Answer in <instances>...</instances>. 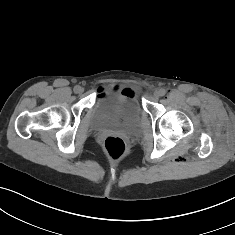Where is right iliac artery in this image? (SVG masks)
Returning <instances> with one entry per match:
<instances>
[{
  "instance_id": "82829eb1",
  "label": "right iliac artery",
  "mask_w": 235,
  "mask_h": 235,
  "mask_svg": "<svg viewBox=\"0 0 235 235\" xmlns=\"http://www.w3.org/2000/svg\"><path fill=\"white\" fill-rule=\"evenodd\" d=\"M78 88H79V86H75L74 87V92H77Z\"/></svg>"
}]
</instances>
